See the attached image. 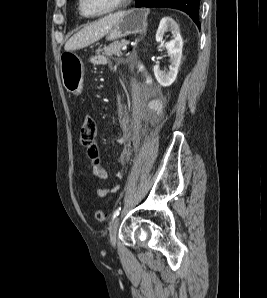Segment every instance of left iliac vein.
I'll return each mask as SVG.
<instances>
[{
  "label": "left iliac vein",
  "mask_w": 267,
  "mask_h": 298,
  "mask_svg": "<svg viewBox=\"0 0 267 298\" xmlns=\"http://www.w3.org/2000/svg\"><path fill=\"white\" fill-rule=\"evenodd\" d=\"M118 227H119V218H115L111 221L109 226L110 243L113 247H115L116 245V236H117Z\"/></svg>",
  "instance_id": "4c4485c4"
}]
</instances>
